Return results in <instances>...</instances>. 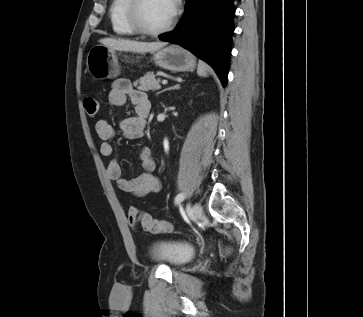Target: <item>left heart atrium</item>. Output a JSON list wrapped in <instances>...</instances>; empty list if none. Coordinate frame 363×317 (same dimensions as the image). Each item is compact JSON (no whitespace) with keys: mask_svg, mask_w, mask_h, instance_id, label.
Masks as SVG:
<instances>
[{"mask_svg":"<svg viewBox=\"0 0 363 317\" xmlns=\"http://www.w3.org/2000/svg\"><path fill=\"white\" fill-rule=\"evenodd\" d=\"M171 2V4L173 5V9H174V6L176 5V0H169Z\"/></svg>","mask_w":363,"mask_h":317,"instance_id":"left-heart-atrium-1","label":"left heart atrium"}]
</instances>
